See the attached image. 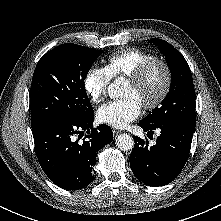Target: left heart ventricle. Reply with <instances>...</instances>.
Listing matches in <instances>:
<instances>
[{
  "instance_id": "left-heart-ventricle-1",
  "label": "left heart ventricle",
  "mask_w": 221,
  "mask_h": 221,
  "mask_svg": "<svg viewBox=\"0 0 221 221\" xmlns=\"http://www.w3.org/2000/svg\"><path fill=\"white\" fill-rule=\"evenodd\" d=\"M165 73L161 66H154L140 85H125L122 96H133L142 105L153 101L163 88Z\"/></svg>"
}]
</instances>
